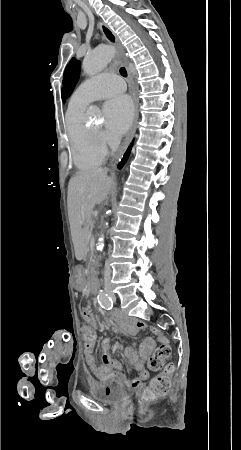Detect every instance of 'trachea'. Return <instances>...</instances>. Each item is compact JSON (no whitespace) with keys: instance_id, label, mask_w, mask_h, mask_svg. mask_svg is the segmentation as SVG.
Returning <instances> with one entry per match:
<instances>
[{"instance_id":"3493384b","label":"trachea","mask_w":241,"mask_h":450,"mask_svg":"<svg viewBox=\"0 0 241 450\" xmlns=\"http://www.w3.org/2000/svg\"><path fill=\"white\" fill-rule=\"evenodd\" d=\"M120 74H121L123 77H127V72H126V69H125L124 67H121V68H120Z\"/></svg>"}]
</instances>
